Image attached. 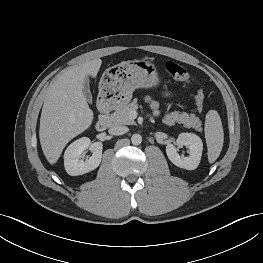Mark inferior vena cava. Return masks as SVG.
I'll return each instance as SVG.
<instances>
[{
	"label": "inferior vena cava",
	"mask_w": 263,
	"mask_h": 263,
	"mask_svg": "<svg viewBox=\"0 0 263 263\" xmlns=\"http://www.w3.org/2000/svg\"><path fill=\"white\" fill-rule=\"evenodd\" d=\"M128 130L129 129L126 126L114 125L108 130V132L111 135H123V134L127 133Z\"/></svg>",
	"instance_id": "1"
}]
</instances>
